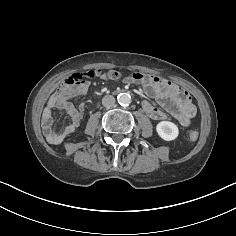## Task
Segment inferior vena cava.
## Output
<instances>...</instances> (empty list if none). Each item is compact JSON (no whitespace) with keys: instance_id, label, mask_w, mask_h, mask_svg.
Listing matches in <instances>:
<instances>
[{"instance_id":"obj_1","label":"inferior vena cava","mask_w":236,"mask_h":236,"mask_svg":"<svg viewBox=\"0 0 236 236\" xmlns=\"http://www.w3.org/2000/svg\"><path fill=\"white\" fill-rule=\"evenodd\" d=\"M102 104L106 108L113 107L115 104V98L112 95H106L102 99Z\"/></svg>"}]
</instances>
